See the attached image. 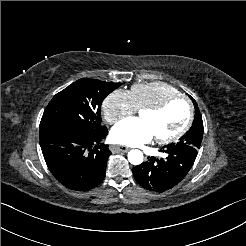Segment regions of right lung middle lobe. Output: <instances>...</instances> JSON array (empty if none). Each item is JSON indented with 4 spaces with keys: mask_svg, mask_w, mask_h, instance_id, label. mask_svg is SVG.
Listing matches in <instances>:
<instances>
[{
    "mask_svg": "<svg viewBox=\"0 0 246 246\" xmlns=\"http://www.w3.org/2000/svg\"><path fill=\"white\" fill-rule=\"evenodd\" d=\"M121 83L83 78L57 93L46 107L40 129L71 126L97 131L101 126V104Z\"/></svg>",
    "mask_w": 246,
    "mask_h": 246,
    "instance_id": "obj_1",
    "label": "right lung middle lobe"
}]
</instances>
